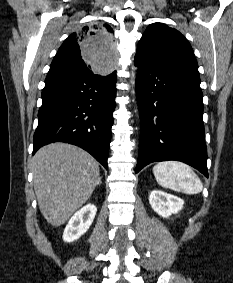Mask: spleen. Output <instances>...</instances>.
Masks as SVG:
<instances>
[{"label": "spleen", "mask_w": 233, "mask_h": 283, "mask_svg": "<svg viewBox=\"0 0 233 283\" xmlns=\"http://www.w3.org/2000/svg\"><path fill=\"white\" fill-rule=\"evenodd\" d=\"M159 185L185 194H198L203 185L200 178L186 164L176 161L160 162L153 167Z\"/></svg>", "instance_id": "1"}]
</instances>
